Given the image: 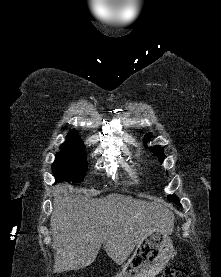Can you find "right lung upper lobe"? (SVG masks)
I'll list each match as a JSON object with an SVG mask.
<instances>
[{
	"label": "right lung upper lobe",
	"mask_w": 221,
	"mask_h": 277,
	"mask_svg": "<svg viewBox=\"0 0 221 277\" xmlns=\"http://www.w3.org/2000/svg\"><path fill=\"white\" fill-rule=\"evenodd\" d=\"M67 140H81L80 136H78V133L75 130H71L69 134L67 135Z\"/></svg>",
	"instance_id": "cb5924a9"
}]
</instances>
